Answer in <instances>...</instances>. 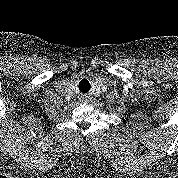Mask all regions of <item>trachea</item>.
<instances>
[{"label":"trachea","instance_id":"trachea-1","mask_svg":"<svg viewBox=\"0 0 178 178\" xmlns=\"http://www.w3.org/2000/svg\"><path fill=\"white\" fill-rule=\"evenodd\" d=\"M79 91L82 93H87L91 89V84L87 79H82L78 85Z\"/></svg>","mask_w":178,"mask_h":178}]
</instances>
